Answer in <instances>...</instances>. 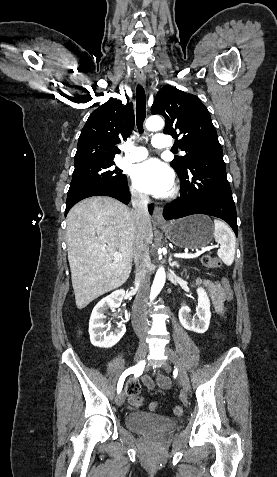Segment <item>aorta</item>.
Instances as JSON below:
<instances>
[{
    "instance_id": "1",
    "label": "aorta",
    "mask_w": 277,
    "mask_h": 477,
    "mask_svg": "<svg viewBox=\"0 0 277 477\" xmlns=\"http://www.w3.org/2000/svg\"><path fill=\"white\" fill-rule=\"evenodd\" d=\"M147 130L157 131L161 130L164 127V121L159 116H151L147 119L145 124ZM166 279V273L164 268H159L156 272L155 279L151 288L150 300H154L155 297L160 293L161 289L164 286Z\"/></svg>"
}]
</instances>
